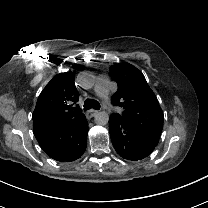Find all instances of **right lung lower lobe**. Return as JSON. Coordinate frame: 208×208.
I'll use <instances>...</instances> for the list:
<instances>
[{
    "mask_svg": "<svg viewBox=\"0 0 208 208\" xmlns=\"http://www.w3.org/2000/svg\"><path fill=\"white\" fill-rule=\"evenodd\" d=\"M87 134L88 122L85 116L64 127L34 132L45 153L60 162H71L83 155L87 145Z\"/></svg>",
    "mask_w": 208,
    "mask_h": 208,
    "instance_id": "obj_1",
    "label": "right lung lower lobe"
}]
</instances>
